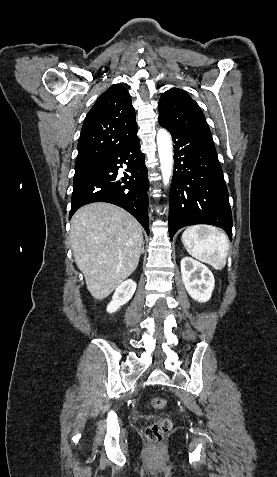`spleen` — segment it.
Instances as JSON below:
<instances>
[{"label":"spleen","instance_id":"spleen-1","mask_svg":"<svg viewBox=\"0 0 277 477\" xmlns=\"http://www.w3.org/2000/svg\"><path fill=\"white\" fill-rule=\"evenodd\" d=\"M182 243L194 258L221 270L226 264L229 242L220 229L209 225L188 227L182 234Z\"/></svg>","mask_w":277,"mask_h":477}]
</instances>
